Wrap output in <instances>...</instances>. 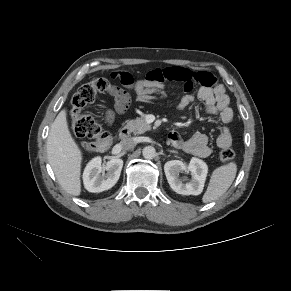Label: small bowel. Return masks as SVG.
Segmentation results:
<instances>
[{
    "instance_id": "obj_1",
    "label": "small bowel",
    "mask_w": 291,
    "mask_h": 291,
    "mask_svg": "<svg viewBox=\"0 0 291 291\" xmlns=\"http://www.w3.org/2000/svg\"><path fill=\"white\" fill-rule=\"evenodd\" d=\"M118 76L123 84L132 87L137 94V101L146 102L157 97H163L164 83L166 81H176L183 85V94L176 104V109L181 111L190 105L195 99L202 101L205 106L203 113L206 115L217 116L222 124L221 131L217 136L216 143L220 148L231 145L232 136L229 124L233 120V111L229 106V97L223 85L217 84L214 76L209 72L193 73L184 67L156 68L147 73L145 79L134 82L131 74L126 72L113 73ZM199 87L193 93L195 85ZM114 98V107L108 111L109 119L114 114L123 113L129 107L131 98L129 93L121 88L114 87L110 91ZM170 142L177 148L187 153L207 157L211 153L208 145V136L197 132L188 139H183L176 131L169 134Z\"/></svg>"
}]
</instances>
